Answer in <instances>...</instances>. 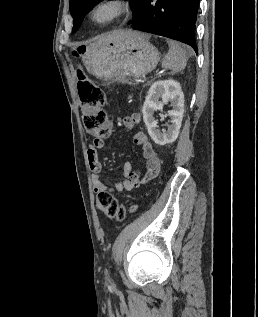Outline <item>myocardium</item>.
<instances>
[{
	"label": "myocardium",
	"mask_w": 258,
	"mask_h": 317,
	"mask_svg": "<svg viewBox=\"0 0 258 317\" xmlns=\"http://www.w3.org/2000/svg\"><path fill=\"white\" fill-rule=\"evenodd\" d=\"M129 11V5L122 0H97L91 9V19L98 25L109 24Z\"/></svg>",
	"instance_id": "myocardium-1"
}]
</instances>
